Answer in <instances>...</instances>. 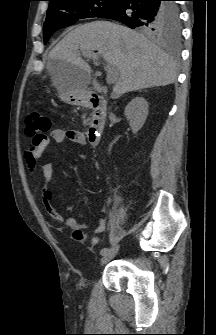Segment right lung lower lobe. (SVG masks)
<instances>
[{"instance_id": "1", "label": "right lung lower lobe", "mask_w": 216, "mask_h": 335, "mask_svg": "<svg viewBox=\"0 0 216 335\" xmlns=\"http://www.w3.org/2000/svg\"><path fill=\"white\" fill-rule=\"evenodd\" d=\"M101 18L114 19L130 28L150 30L156 34L169 29L173 22L179 20V13L173 1L120 0L108 14Z\"/></svg>"}]
</instances>
